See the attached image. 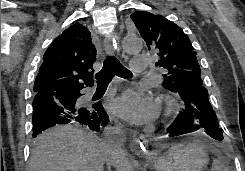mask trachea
I'll use <instances>...</instances> for the list:
<instances>
[{
  "label": "trachea",
  "mask_w": 245,
  "mask_h": 171,
  "mask_svg": "<svg viewBox=\"0 0 245 171\" xmlns=\"http://www.w3.org/2000/svg\"><path fill=\"white\" fill-rule=\"evenodd\" d=\"M114 75L122 78L132 77V73L117 58L108 56L104 61L103 69L96 74L97 85L107 86Z\"/></svg>",
  "instance_id": "3493384b"
}]
</instances>
